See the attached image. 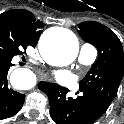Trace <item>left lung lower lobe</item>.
I'll use <instances>...</instances> for the list:
<instances>
[{
	"label": "left lung lower lobe",
	"mask_w": 124,
	"mask_h": 124,
	"mask_svg": "<svg viewBox=\"0 0 124 124\" xmlns=\"http://www.w3.org/2000/svg\"><path fill=\"white\" fill-rule=\"evenodd\" d=\"M38 86L48 95L50 116L56 124H93L108 109L85 93L76 99L67 97L69 90L58 84L40 82Z\"/></svg>",
	"instance_id": "1"
}]
</instances>
